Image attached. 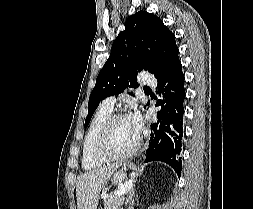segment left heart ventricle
Wrapping results in <instances>:
<instances>
[{"instance_id":"left-heart-ventricle-1","label":"left heart ventricle","mask_w":253,"mask_h":209,"mask_svg":"<svg viewBox=\"0 0 253 209\" xmlns=\"http://www.w3.org/2000/svg\"><path fill=\"white\" fill-rule=\"evenodd\" d=\"M137 138L127 117L120 119L111 128L108 149L114 154L126 153L135 146Z\"/></svg>"}]
</instances>
